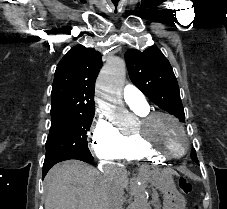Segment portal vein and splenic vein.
I'll use <instances>...</instances> for the list:
<instances>
[{"label":"portal vein and splenic vein","mask_w":227,"mask_h":209,"mask_svg":"<svg viewBox=\"0 0 227 209\" xmlns=\"http://www.w3.org/2000/svg\"><path fill=\"white\" fill-rule=\"evenodd\" d=\"M152 199H153L154 201H156L158 198H157L156 196H154Z\"/></svg>","instance_id":"18ae733b"}]
</instances>
